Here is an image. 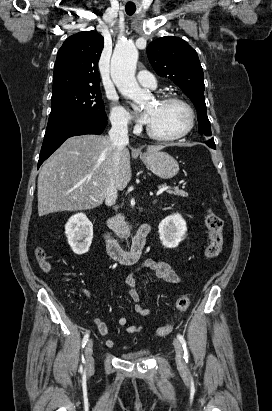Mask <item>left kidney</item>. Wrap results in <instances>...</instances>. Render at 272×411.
<instances>
[{
  "label": "left kidney",
  "mask_w": 272,
  "mask_h": 411,
  "mask_svg": "<svg viewBox=\"0 0 272 411\" xmlns=\"http://www.w3.org/2000/svg\"><path fill=\"white\" fill-rule=\"evenodd\" d=\"M158 229L162 245L167 248L177 247L187 232L186 222L178 213L164 218Z\"/></svg>",
  "instance_id": "5707ae66"
}]
</instances>
